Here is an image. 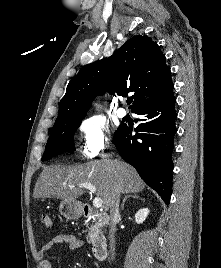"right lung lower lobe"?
<instances>
[{"mask_svg":"<svg viewBox=\"0 0 221 268\" xmlns=\"http://www.w3.org/2000/svg\"><path fill=\"white\" fill-rule=\"evenodd\" d=\"M140 124L120 125L113 143L125 161L136 168L140 177L168 205L172 192L173 162L171 154L176 134L175 97L173 92L132 111Z\"/></svg>","mask_w":221,"mask_h":268,"instance_id":"right-lung-lower-lobe-1","label":"right lung lower lobe"}]
</instances>
